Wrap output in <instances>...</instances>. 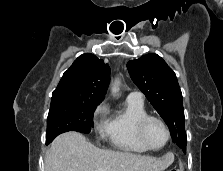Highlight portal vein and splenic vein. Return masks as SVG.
<instances>
[{"label":"portal vein and splenic vein","instance_id":"portal-vein-and-splenic-vein-1","mask_svg":"<svg viewBox=\"0 0 223 171\" xmlns=\"http://www.w3.org/2000/svg\"><path fill=\"white\" fill-rule=\"evenodd\" d=\"M98 171H103V169H99Z\"/></svg>","mask_w":223,"mask_h":171}]
</instances>
